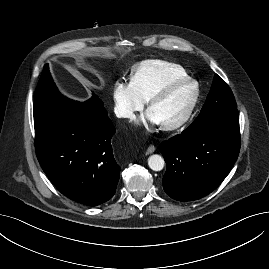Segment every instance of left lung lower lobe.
<instances>
[{"mask_svg":"<svg viewBox=\"0 0 269 269\" xmlns=\"http://www.w3.org/2000/svg\"><path fill=\"white\" fill-rule=\"evenodd\" d=\"M159 149L167 164L162 180L165 192L178 201L200 199L219 186L237 160L238 110L198 115Z\"/></svg>","mask_w":269,"mask_h":269,"instance_id":"1","label":"left lung lower lobe"}]
</instances>
